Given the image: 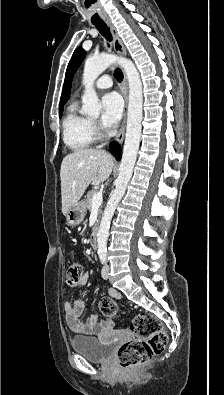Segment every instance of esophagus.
Here are the masks:
<instances>
[{"label":"esophagus","instance_id":"1","mask_svg":"<svg viewBox=\"0 0 224 395\" xmlns=\"http://www.w3.org/2000/svg\"><path fill=\"white\" fill-rule=\"evenodd\" d=\"M105 22L108 25V27L110 28V31L113 36L114 50L116 51L117 54H119L121 56H125L126 49H125V46L122 42V39L120 38V36L117 32L116 27L114 26V24L112 23V21L110 19H106ZM121 93H122L124 100H125V106H124L122 124H121L118 134L116 136V142L119 144H121L124 139L125 128H126L127 108H128V83H127V76L124 71H123V82L121 84Z\"/></svg>","mask_w":224,"mask_h":395}]
</instances>
